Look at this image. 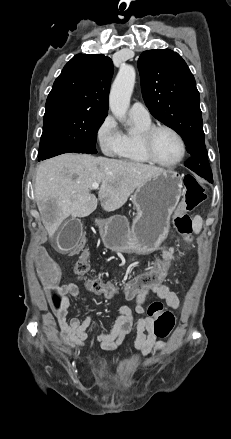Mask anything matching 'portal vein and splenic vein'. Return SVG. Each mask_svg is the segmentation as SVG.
I'll list each match as a JSON object with an SVG mask.
<instances>
[{
    "instance_id": "1",
    "label": "portal vein and splenic vein",
    "mask_w": 231,
    "mask_h": 439,
    "mask_svg": "<svg viewBox=\"0 0 231 439\" xmlns=\"http://www.w3.org/2000/svg\"><path fill=\"white\" fill-rule=\"evenodd\" d=\"M91 187H92V189H98L99 183H93Z\"/></svg>"
}]
</instances>
